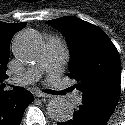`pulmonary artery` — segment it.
<instances>
[{
    "label": "pulmonary artery",
    "instance_id": "pulmonary-artery-1",
    "mask_svg": "<svg viewBox=\"0 0 125 125\" xmlns=\"http://www.w3.org/2000/svg\"><path fill=\"white\" fill-rule=\"evenodd\" d=\"M65 46L57 37H50L45 49L39 55L37 63L29 67L22 75L10 80L11 84L25 85L36 82L46 73L48 80L56 87L60 81V74L64 63ZM75 102L80 101V95L76 94Z\"/></svg>",
    "mask_w": 125,
    "mask_h": 125
}]
</instances>
